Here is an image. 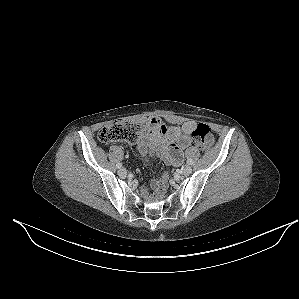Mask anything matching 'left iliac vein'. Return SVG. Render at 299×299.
Instances as JSON below:
<instances>
[{
  "label": "left iliac vein",
  "instance_id": "4c4485c4",
  "mask_svg": "<svg viewBox=\"0 0 299 299\" xmlns=\"http://www.w3.org/2000/svg\"><path fill=\"white\" fill-rule=\"evenodd\" d=\"M192 172V167L189 165H186L183 169H182V173L184 175H189Z\"/></svg>",
  "mask_w": 299,
  "mask_h": 299
}]
</instances>
